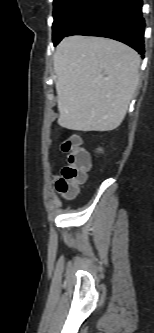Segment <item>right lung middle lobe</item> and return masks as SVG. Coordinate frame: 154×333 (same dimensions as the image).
<instances>
[{
	"label": "right lung middle lobe",
	"mask_w": 154,
	"mask_h": 333,
	"mask_svg": "<svg viewBox=\"0 0 154 333\" xmlns=\"http://www.w3.org/2000/svg\"><path fill=\"white\" fill-rule=\"evenodd\" d=\"M99 1L100 0H54V46L83 20Z\"/></svg>",
	"instance_id": "dd1d6c3e"
}]
</instances>
